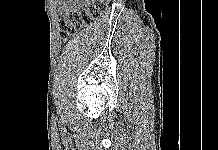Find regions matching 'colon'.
<instances>
[{
    "mask_svg": "<svg viewBox=\"0 0 218 150\" xmlns=\"http://www.w3.org/2000/svg\"><path fill=\"white\" fill-rule=\"evenodd\" d=\"M110 0H92L85 9L70 11L59 23V37L62 42L73 36L84 25L97 20L108 9Z\"/></svg>",
    "mask_w": 218,
    "mask_h": 150,
    "instance_id": "1",
    "label": "colon"
}]
</instances>
